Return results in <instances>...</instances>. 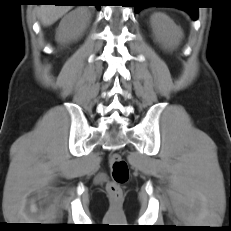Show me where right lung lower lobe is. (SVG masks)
<instances>
[{
    "instance_id": "right-lung-lower-lobe-1",
    "label": "right lung lower lobe",
    "mask_w": 231,
    "mask_h": 231,
    "mask_svg": "<svg viewBox=\"0 0 231 231\" xmlns=\"http://www.w3.org/2000/svg\"><path fill=\"white\" fill-rule=\"evenodd\" d=\"M40 3H55L56 5H77L79 0H37ZM98 9L100 6L95 5Z\"/></svg>"
}]
</instances>
